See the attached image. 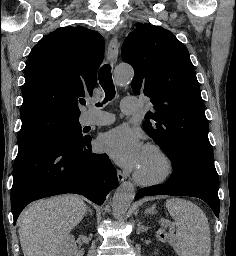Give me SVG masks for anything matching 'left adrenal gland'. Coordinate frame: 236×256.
I'll return each instance as SVG.
<instances>
[{"label": "left adrenal gland", "instance_id": "obj_1", "mask_svg": "<svg viewBox=\"0 0 236 256\" xmlns=\"http://www.w3.org/2000/svg\"><path fill=\"white\" fill-rule=\"evenodd\" d=\"M154 208L155 206H151V208H147V210H145V214H155Z\"/></svg>", "mask_w": 236, "mask_h": 256}]
</instances>
